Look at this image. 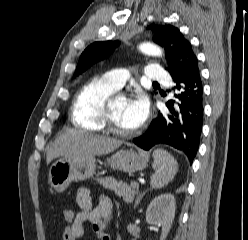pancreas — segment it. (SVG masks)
<instances>
[{
	"label": "pancreas",
	"mask_w": 248,
	"mask_h": 240,
	"mask_svg": "<svg viewBox=\"0 0 248 240\" xmlns=\"http://www.w3.org/2000/svg\"><path fill=\"white\" fill-rule=\"evenodd\" d=\"M97 181L106 189L113 191L117 196L122 197L126 202H132L135 195L138 193V189L124 183L117 181L113 177L99 178Z\"/></svg>",
	"instance_id": "pancreas-1"
}]
</instances>
